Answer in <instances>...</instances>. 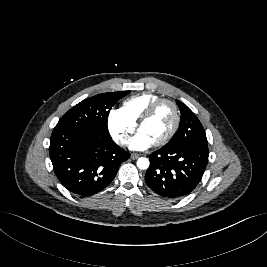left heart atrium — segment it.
<instances>
[{"instance_id":"39dd6f15","label":"left heart atrium","mask_w":267,"mask_h":267,"mask_svg":"<svg viewBox=\"0 0 267 267\" xmlns=\"http://www.w3.org/2000/svg\"><path fill=\"white\" fill-rule=\"evenodd\" d=\"M128 145L132 150H145L154 145V142L139 132L129 141Z\"/></svg>"}]
</instances>
